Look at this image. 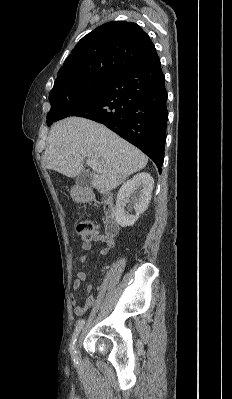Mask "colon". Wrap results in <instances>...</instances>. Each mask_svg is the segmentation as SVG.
I'll list each match as a JSON object with an SVG mask.
<instances>
[{
    "instance_id": "5ec220e1",
    "label": "colon",
    "mask_w": 232,
    "mask_h": 399,
    "mask_svg": "<svg viewBox=\"0 0 232 399\" xmlns=\"http://www.w3.org/2000/svg\"><path fill=\"white\" fill-rule=\"evenodd\" d=\"M93 232H95V227L93 224H89V220H77V223L74 224V231L71 232V235L76 237L77 239H84V241H89V239H93Z\"/></svg>"
}]
</instances>
